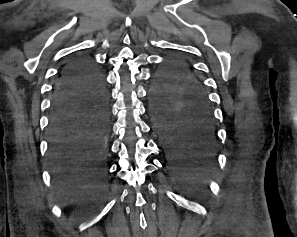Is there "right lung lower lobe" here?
Masks as SVG:
<instances>
[{
    "mask_svg": "<svg viewBox=\"0 0 297 237\" xmlns=\"http://www.w3.org/2000/svg\"><path fill=\"white\" fill-rule=\"evenodd\" d=\"M108 97L99 71L85 57L67 64L54 86L49 157L56 173L104 174Z\"/></svg>",
    "mask_w": 297,
    "mask_h": 237,
    "instance_id": "right-lung-lower-lobe-1",
    "label": "right lung lower lobe"
}]
</instances>
